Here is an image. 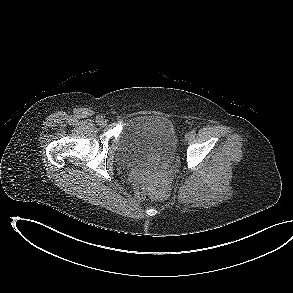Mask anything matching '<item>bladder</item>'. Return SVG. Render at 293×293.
Segmentation results:
<instances>
[{
	"label": "bladder",
	"mask_w": 293,
	"mask_h": 293,
	"mask_svg": "<svg viewBox=\"0 0 293 293\" xmlns=\"http://www.w3.org/2000/svg\"><path fill=\"white\" fill-rule=\"evenodd\" d=\"M178 136L171 120L160 115H137L123 125L116 147L125 165L163 167L176 157Z\"/></svg>",
	"instance_id": "31cf9c89"
}]
</instances>
